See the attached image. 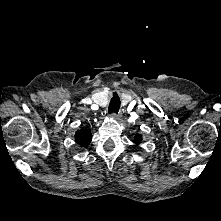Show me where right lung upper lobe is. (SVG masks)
Returning <instances> with one entry per match:
<instances>
[{"mask_svg": "<svg viewBox=\"0 0 221 221\" xmlns=\"http://www.w3.org/2000/svg\"><path fill=\"white\" fill-rule=\"evenodd\" d=\"M75 139L77 144H79L82 147H87L92 140L90 130L84 128L79 129L75 134Z\"/></svg>", "mask_w": 221, "mask_h": 221, "instance_id": "1", "label": "right lung upper lobe"}]
</instances>
